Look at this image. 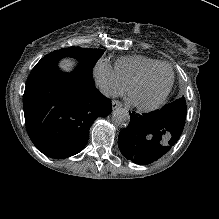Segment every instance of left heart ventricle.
<instances>
[{
	"label": "left heart ventricle",
	"mask_w": 219,
	"mask_h": 219,
	"mask_svg": "<svg viewBox=\"0 0 219 219\" xmlns=\"http://www.w3.org/2000/svg\"><path fill=\"white\" fill-rule=\"evenodd\" d=\"M170 81V70L166 66H161L133 89L132 98L134 101L142 104L155 102L168 89Z\"/></svg>",
	"instance_id": "obj_1"
}]
</instances>
